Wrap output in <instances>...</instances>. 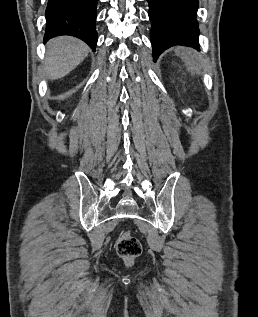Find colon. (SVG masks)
I'll use <instances>...</instances> for the list:
<instances>
[{
	"instance_id": "obj_1",
	"label": "colon",
	"mask_w": 258,
	"mask_h": 317,
	"mask_svg": "<svg viewBox=\"0 0 258 317\" xmlns=\"http://www.w3.org/2000/svg\"><path fill=\"white\" fill-rule=\"evenodd\" d=\"M116 250L120 257L127 261H131L140 255L142 246L136 237L125 232L118 238Z\"/></svg>"
}]
</instances>
